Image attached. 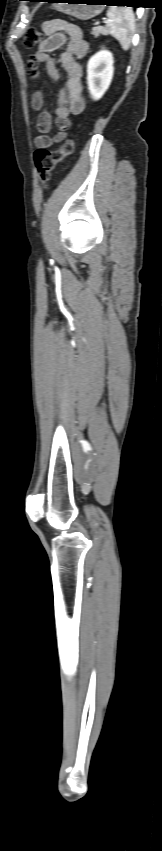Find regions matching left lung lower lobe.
I'll return each mask as SVG.
<instances>
[{"label":"left lung lower lobe","mask_w":162,"mask_h":851,"mask_svg":"<svg viewBox=\"0 0 162 851\" xmlns=\"http://www.w3.org/2000/svg\"><path fill=\"white\" fill-rule=\"evenodd\" d=\"M36 1H41V0H36ZM45 1L54 2L55 0H45ZM136 2H137L136 0H104L103 3H106L107 5L129 6V4H134Z\"/></svg>","instance_id":"obj_1"}]
</instances>
